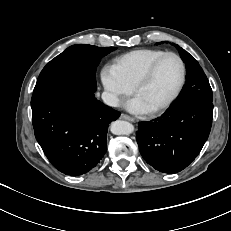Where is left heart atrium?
Masks as SVG:
<instances>
[{
    "instance_id": "39dd6f15",
    "label": "left heart atrium",
    "mask_w": 231,
    "mask_h": 231,
    "mask_svg": "<svg viewBox=\"0 0 231 231\" xmlns=\"http://www.w3.org/2000/svg\"><path fill=\"white\" fill-rule=\"evenodd\" d=\"M125 107L128 111L135 114H144L150 111V109L142 102V100L138 96L130 99L126 103Z\"/></svg>"
}]
</instances>
